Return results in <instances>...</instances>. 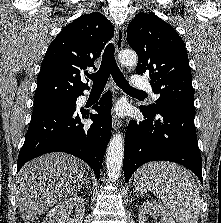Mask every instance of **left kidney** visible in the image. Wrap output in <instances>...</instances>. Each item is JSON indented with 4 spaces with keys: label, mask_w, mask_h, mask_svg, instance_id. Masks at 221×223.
<instances>
[{
    "label": "left kidney",
    "mask_w": 221,
    "mask_h": 223,
    "mask_svg": "<svg viewBox=\"0 0 221 223\" xmlns=\"http://www.w3.org/2000/svg\"><path fill=\"white\" fill-rule=\"evenodd\" d=\"M152 211H154L155 214L161 217L159 223H175L167 210L162 205L152 200H147L141 205L138 214L139 223H147V215Z\"/></svg>",
    "instance_id": "left-kidney-1"
}]
</instances>
